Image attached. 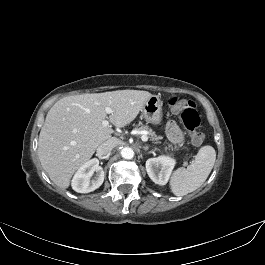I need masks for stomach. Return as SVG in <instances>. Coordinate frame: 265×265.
Segmentation results:
<instances>
[{
  "mask_svg": "<svg viewBox=\"0 0 265 265\" xmlns=\"http://www.w3.org/2000/svg\"><path fill=\"white\" fill-rule=\"evenodd\" d=\"M162 105L163 102L159 96L153 95L150 97L141 109L144 119L148 123L160 124L162 121Z\"/></svg>",
  "mask_w": 265,
  "mask_h": 265,
  "instance_id": "stomach-1",
  "label": "stomach"
}]
</instances>
